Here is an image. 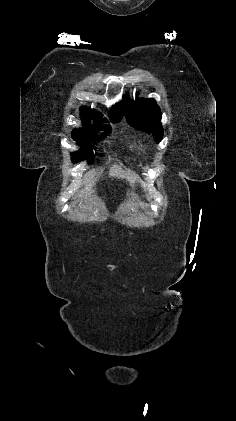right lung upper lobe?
Returning a JSON list of instances; mask_svg holds the SVG:
<instances>
[{
  "label": "right lung upper lobe",
  "mask_w": 236,
  "mask_h": 421,
  "mask_svg": "<svg viewBox=\"0 0 236 421\" xmlns=\"http://www.w3.org/2000/svg\"><path fill=\"white\" fill-rule=\"evenodd\" d=\"M81 110H90L87 107H81ZM114 111H123L125 110V106H124V102H121L120 104H117L116 106L113 107Z\"/></svg>",
  "instance_id": "1"
}]
</instances>
